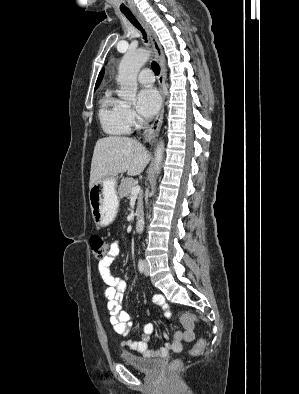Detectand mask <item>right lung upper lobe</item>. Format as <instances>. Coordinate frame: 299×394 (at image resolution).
I'll use <instances>...</instances> for the list:
<instances>
[{
	"label": "right lung upper lobe",
	"instance_id": "1",
	"mask_svg": "<svg viewBox=\"0 0 299 394\" xmlns=\"http://www.w3.org/2000/svg\"><path fill=\"white\" fill-rule=\"evenodd\" d=\"M102 78H103V71H101L99 76H98V79H97V82H96V85H95V89H97V87L99 86Z\"/></svg>",
	"mask_w": 299,
	"mask_h": 394
}]
</instances>
